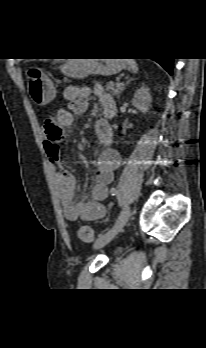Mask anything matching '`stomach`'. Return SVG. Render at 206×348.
I'll list each match as a JSON object with an SVG mask.
<instances>
[{
  "label": "stomach",
  "mask_w": 206,
  "mask_h": 348,
  "mask_svg": "<svg viewBox=\"0 0 206 348\" xmlns=\"http://www.w3.org/2000/svg\"><path fill=\"white\" fill-rule=\"evenodd\" d=\"M125 68V63L120 59H68L61 67V72L74 79H82L91 74L110 76L119 73ZM46 98L40 104L47 103Z\"/></svg>",
  "instance_id": "1"
}]
</instances>
